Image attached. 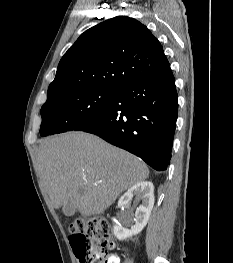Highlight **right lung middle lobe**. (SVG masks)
Segmentation results:
<instances>
[{"label": "right lung middle lobe", "mask_w": 233, "mask_h": 263, "mask_svg": "<svg viewBox=\"0 0 233 263\" xmlns=\"http://www.w3.org/2000/svg\"><path fill=\"white\" fill-rule=\"evenodd\" d=\"M117 90L99 87L75 89L48 97L41 108V136L71 131L102 113Z\"/></svg>", "instance_id": "obj_1"}]
</instances>
